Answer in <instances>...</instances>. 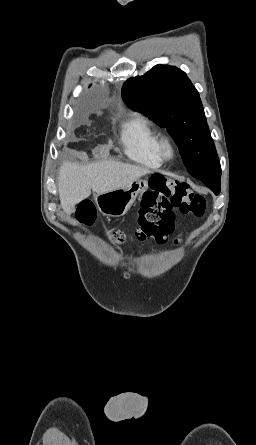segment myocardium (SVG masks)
<instances>
[{
    "label": "myocardium",
    "instance_id": "f54148a6",
    "mask_svg": "<svg viewBox=\"0 0 256 445\" xmlns=\"http://www.w3.org/2000/svg\"><path fill=\"white\" fill-rule=\"evenodd\" d=\"M157 148L158 153L163 161L171 160L175 156V145L173 141L167 136H162L159 138Z\"/></svg>",
    "mask_w": 256,
    "mask_h": 445
}]
</instances>
